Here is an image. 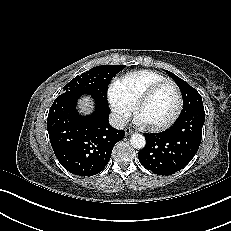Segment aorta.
<instances>
[{
	"instance_id": "obj_1",
	"label": "aorta",
	"mask_w": 231,
	"mask_h": 231,
	"mask_svg": "<svg viewBox=\"0 0 231 231\" xmlns=\"http://www.w3.org/2000/svg\"><path fill=\"white\" fill-rule=\"evenodd\" d=\"M130 144L135 149H143L146 144L145 137L142 134L134 133L131 135Z\"/></svg>"
}]
</instances>
